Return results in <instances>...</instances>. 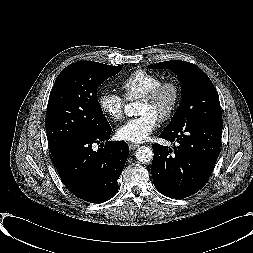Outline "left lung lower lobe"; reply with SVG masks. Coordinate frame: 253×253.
Returning <instances> with one entry per match:
<instances>
[{
  "label": "left lung lower lobe",
  "mask_w": 253,
  "mask_h": 253,
  "mask_svg": "<svg viewBox=\"0 0 253 253\" xmlns=\"http://www.w3.org/2000/svg\"><path fill=\"white\" fill-rule=\"evenodd\" d=\"M223 120L188 122L174 132L162 131L160 137L177 141L174 150L152 144L151 173L156 189L170 198L181 199L198 192L207 183L215 166L221 144Z\"/></svg>",
  "instance_id": "1"
}]
</instances>
